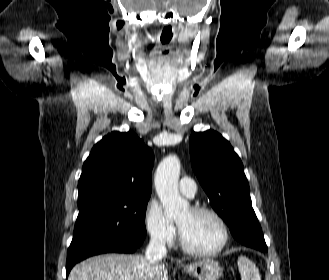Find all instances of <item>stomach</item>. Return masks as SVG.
Returning a JSON list of instances; mask_svg holds the SVG:
<instances>
[{"label":"stomach","mask_w":329,"mask_h":280,"mask_svg":"<svg viewBox=\"0 0 329 280\" xmlns=\"http://www.w3.org/2000/svg\"><path fill=\"white\" fill-rule=\"evenodd\" d=\"M185 271L199 280H219L222 276L223 268L215 260L203 259L187 265Z\"/></svg>","instance_id":"obj_1"}]
</instances>
